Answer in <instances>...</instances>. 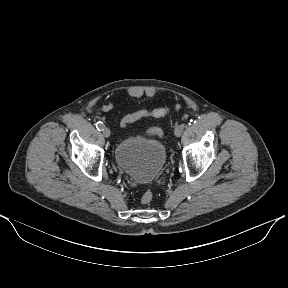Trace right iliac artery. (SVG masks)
<instances>
[{"instance_id": "obj_1", "label": "right iliac artery", "mask_w": 288, "mask_h": 288, "mask_svg": "<svg viewBox=\"0 0 288 288\" xmlns=\"http://www.w3.org/2000/svg\"><path fill=\"white\" fill-rule=\"evenodd\" d=\"M104 124L103 122L99 121L96 123V128L99 130V131H102L104 129Z\"/></svg>"}]
</instances>
